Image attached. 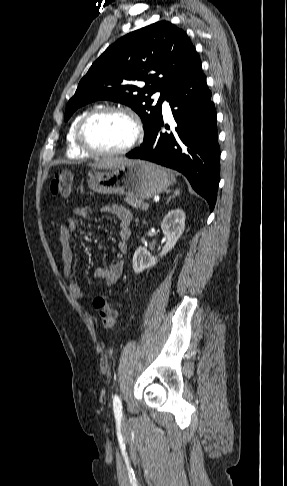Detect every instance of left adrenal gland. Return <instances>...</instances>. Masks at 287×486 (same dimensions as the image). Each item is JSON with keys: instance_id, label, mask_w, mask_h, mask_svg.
Masks as SVG:
<instances>
[{"instance_id": "a2214340", "label": "left adrenal gland", "mask_w": 287, "mask_h": 486, "mask_svg": "<svg viewBox=\"0 0 287 486\" xmlns=\"http://www.w3.org/2000/svg\"><path fill=\"white\" fill-rule=\"evenodd\" d=\"M175 195H177V191H175V193L172 197H169V199L167 200V203L171 200V198L175 197Z\"/></svg>"}]
</instances>
